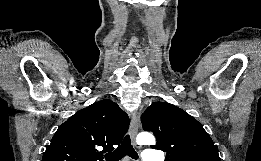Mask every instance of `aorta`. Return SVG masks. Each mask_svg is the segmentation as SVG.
<instances>
[{"label": "aorta", "instance_id": "1", "mask_svg": "<svg viewBox=\"0 0 261 161\" xmlns=\"http://www.w3.org/2000/svg\"><path fill=\"white\" fill-rule=\"evenodd\" d=\"M137 143L140 145H153L155 144V138L148 132H142L137 136Z\"/></svg>", "mask_w": 261, "mask_h": 161}]
</instances>
